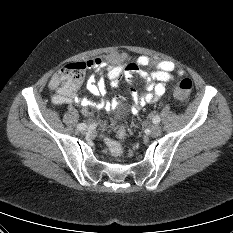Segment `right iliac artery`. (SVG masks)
Segmentation results:
<instances>
[{
  "label": "right iliac artery",
  "instance_id": "1",
  "mask_svg": "<svg viewBox=\"0 0 233 233\" xmlns=\"http://www.w3.org/2000/svg\"><path fill=\"white\" fill-rule=\"evenodd\" d=\"M84 127H87L86 124H84V123H80L77 125V129H79V130H83Z\"/></svg>",
  "mask_w": 233,
  "mask_h": 233
}]
</instances>
